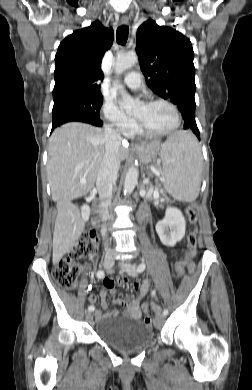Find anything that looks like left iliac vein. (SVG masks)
<instances>
[{"instance_id": "obj_1", "label": "left iliac vein", "mask_w": 252, "mask_h": 390, "mask_svg": "<svg viewBox=\"0 0 252 390\" xmlns=\"http://www.w3.org/2000/svg\"><path fill=\"white\" fill-rule=\"evenodd\" d=\"M119 266H120V268H121L124 272H126L129 276H132V277L137 276L136 266H135V265H133V264L127 262V261H124V262H120V263H119ZM155 311H156V313H157V318H158V320H162V319L165 317L164 314H161V313H160V309H159V308L156 309Z\"/></svg>"}]
</instances>
